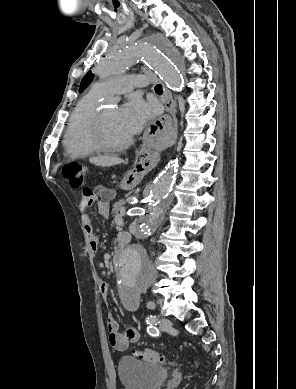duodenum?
<instances>
[{
    "label": "duodenum",
    "mask_w": 296,
    "mask_h": 389,
    "mask_svg": "<svg viewBox=\"0 0 296 389\" xmlns=\"http://www.w3.org/2000/svg\"><path fill=\"white\" fill-rule=\"evenodd\" d=\"M127 243H128V237H121L120 238V247L118 249H116L112 255V262L113 263L119 262V260L121 258V254H122V249Z\"/></svg>",
    "instance_id": "410a0bca"
}]
</instances>
